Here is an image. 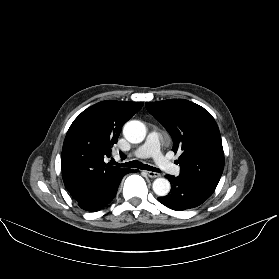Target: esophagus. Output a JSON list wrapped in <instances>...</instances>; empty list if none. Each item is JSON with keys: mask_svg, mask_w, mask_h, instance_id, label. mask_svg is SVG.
Here are the masks:
<instances>
[{"mask_svg": "<svg viewBox=\"0 0 279 279\" xmlns=\"http://www.w3.org/2000/svg\"><path fill=\"white\" fill-rule=\"evenodd\" d=\"M146 174H147L149 177H151V178H157V177L160 176L159 173L153 172V171H146Z\"/></svg>", "mask_w": 279, "mask_h": 279, "instance_id": "1", "label": "esophagus"}]
</instances>
